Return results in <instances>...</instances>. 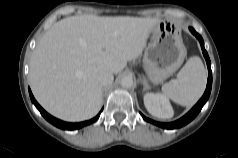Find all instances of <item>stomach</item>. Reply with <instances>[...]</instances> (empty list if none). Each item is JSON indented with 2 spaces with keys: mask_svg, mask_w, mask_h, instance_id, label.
<instances>
[{
  "mask_svg": "<svg viewBox=\"0 0 238 158\" xmlns=\"http://www.w3.org/2000/svg\"><path fill=\"white\" fill-rule=\"evenodd\" d=\"M150 33L143 68L153 84H160L179 69L187 51L179 30L170 22L159 20Z\"/></svg>",
  "mask_w": 238,
  "mask_h": 158,
  "instance_id": "0dacf381",
  "label": "stomach"
}]
</instances>
